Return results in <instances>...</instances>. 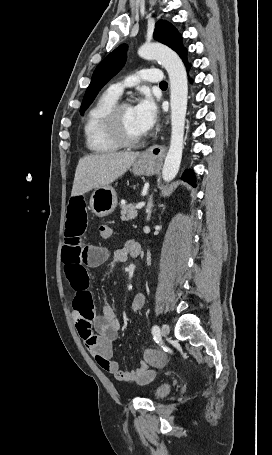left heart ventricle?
Returning <instances> with one entry per match:
<instances>
[{
    "mask_svg": "<svg viewBox=\"0 0 272 455\" xmlns=\"http://www.w3.org/2000/svg\"><path fill=\"white\" fill-rule=\"evenodd\" d=\"M122 127L129 138H138L143 135L136 120L134 107L128 106L122 111Z\"/></svg>",
    "mask_w": 272,
    "mask_h": 455,
    "instance_id": "obj_1",
    "label": "left heart ventricle"
}]
</instances>
